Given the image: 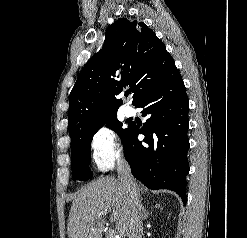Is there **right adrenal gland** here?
I'll use <instances>...</instances> for the list:
<instances>
[{
    "instance_id": "right-adrenal-gland-1",
    "label": "right adrenal gland",
    "mask_w": 247,
    "mask_h": 238,
    "mask_svg": "<svg viewBox=\"0 0 247 238\" xmlns=\"http://www.w3.org/2000/svg\"><path fill=\"white\" fill-rule=\"evenodd\" d=\"M143 217H144V219H147L148 218V215H149V212L146 210V208L145 207H143Z\"/></svg>"
}]
</instances>
